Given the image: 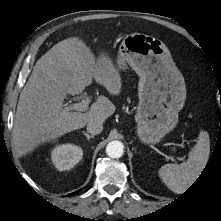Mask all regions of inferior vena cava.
I'll return each mask as SVG.
<instances>
[{
  "label": "inferior vena cava",
  "instance_id": "1",
  "mask_svg": "<svg viewBox=\"0 0 221 221\" xmlns=\"http://www.w3.org/2000/svg\"><path fill=\"white\" fill-rule=\"evenodd\" d=\"M103 130V123L100 120H92L87 123V132L92 135L100 134Z\"/></svg>",
  "mask_w": 221,
  "mask_h": 221
}]
</instances>
